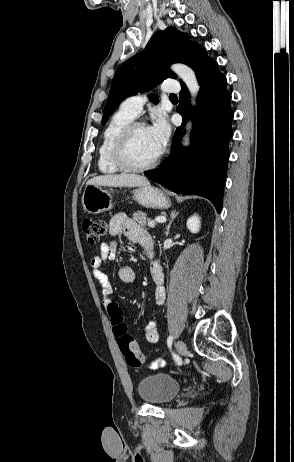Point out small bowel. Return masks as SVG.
<instances>
[{"instance_id":"obj_1","label":"small bowel","mask_w":294,"mask_h":462,"mask_svg":"<svg viewBox=\"0 0 294 462\" xmlns=\"http://www.w3.org/2000/svg\"><path fill=\"white\" fill-rule=\"evenodd\" d=\"M108 230L109 234L112 236L123 233L129 240L140 244L144 248L147 244L153 247V241L147 232L123 213H118L111 218ZM117 251L118 244L116 242H105L101 245L99 254L91 261L92 273L101 286L102 302L105 307L113 301L112 286L109 277L102 270V266L105 261L114 260ZM150 272L155 283L153 295L154 302L156 305H161L165 300L166 292L164 288V273L159 261L152 262ZM118 275L120 280L126 284L133 283L136 278L134 270L129 266L121 267L118 271ZM144 335L149 343H156L159 340V331L154 321L149 320L144 325ZM164 364V360L157 359L150 367L152 369H157L163 367Z\"/></svg>"}]
</instances>
